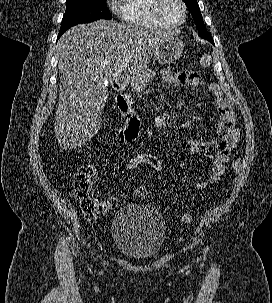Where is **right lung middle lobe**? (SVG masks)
<instances>
[{"label": "right lung middle lobe", "mask_w": 272, "mask_h": 303, "mask_svg": "<svg viewBox=\"0 0 272 303\" xmlns=\"http://www.w3.org/2000/svg\"><path fill=\"white\" fill-rule=\"evenodd\" d=\"M111 18L105 0H66V11L59 33H64L70 27L80 23Z\"/></svg>", "instance_id": "obj_1"}]
</instances>
